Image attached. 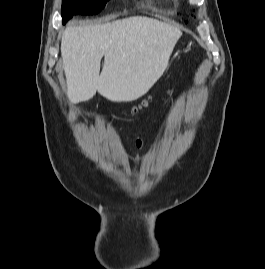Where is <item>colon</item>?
Here are the masks:
<instances>
[{
	"label": "colon",
	"instance_id": "1",
	"mask_svg": "<svg viewBox=\"0 0 265 269\" xmlns=\"http://www.w3.org/2000/svg\"><path fill=\"white\" fill-rule=\"evenodd\" d=\"M148 103H149L148 100L144 101L142 104H140L139 106L135 107V108L133 109V112H138L139 110H141V109L147 107V106H148Z\"/></svg>",
	"mask_w": 265,
	"mask_h": 269
}]
</instances>
